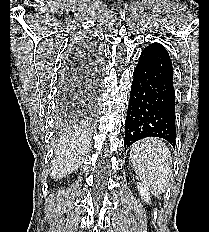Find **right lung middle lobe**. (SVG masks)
Wrapping results in <instances>:
<instances>
[{"label": "right lung middle lobe", "instance_id": "right-lung-middle-lobe-1", "mask_svg": "<svg viewBox=\"0 0 209 232\" xmlns=\"http://www.w3.org/2000/svg\"><path fill=\"white\" fill-rule=\"evenodd\" d=\"M68 80L70 77H67ZM70 81L63 84L58 101V128L64 130L68 127L79 124V121L84 119L83 113H80L76 106L77 99L70 93Z\"/></svg>", "mask_w": 209, "mask_h": 232}]
</instances>
